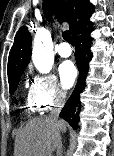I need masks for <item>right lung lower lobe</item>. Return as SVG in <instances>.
Wrapping results in <instances>:
<instances>
[{"instance_id":"right-lung-lower-lobe-1","label":"right lung lower lobe","mask_w":114,"mask_h":156,"mask_svg":"<svg viewBox=\"0 0 114 156\" xmlns=\"http://www.w3.org/2000/svg\"><path fill=\"white\" fill-rule=\"evenodd\" d=\"M92 30V24L89 19L73 34L76 44L75 58L79 69V79L77 85L64 105L60 117L65 119L69 124L77 129L80 111V93L85 87V78L89 68V62L92 58L90 52L91 38L89 36Z\"/></svg>"}]
</instances>
